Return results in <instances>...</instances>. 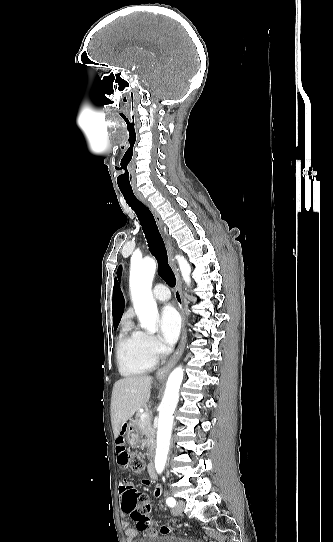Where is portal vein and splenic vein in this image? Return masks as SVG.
<instances>
[{"mask_svg":"<svg viewBox=\"0 0 333 542\" xmlns=\"http://www.w3.org/2000/svg\"><path fill=\"white\" fill-rule=\"evenodd\" d=\"M141 418L142 420H144V418H149V414H142Z\"/></svg>","mask_w":333,"mask_h":542,"instance_id":"obj_1","label":"portal vein and splenic vein"}]
</instances>
